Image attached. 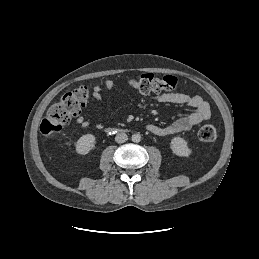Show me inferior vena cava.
Returning a JSON list of instances; mask_svg holds the SVG:
<instances>
[{"label": "inferior vena cava", "mask_w": 259, "mask_h": 259, "mask_svg": "<svg viewBox=\"0 0 259 259\" xmlns=\"http://www.w3.org/2000/svg\"><path fill=\"white\" fill-rule=\"evenodd\" d=\"M128 140V136L126 133H118L115 137V141L117 143H124Z\"/></svg>", "instance_id": "602c4592"}]
</instances>
